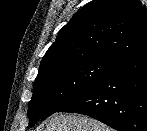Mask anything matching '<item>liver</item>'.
Returning <instances> with one entry per match:
<instances>
[{
	"mask_svg": "<svg viewBox=\"0 0 147 131\" xmlns=\"http://www.w3.org/2000/svg\"><path fill=\"white\" fill-rule=\"evenodd\" d=\"M45 131H112V129L88 116L55 113L49 118Z\"/></svg>",
	"mask_w": 147,
	"mask_h": 131,
	"instance_id": "obj_1",
	"label": "liver"
}]
</instances>
